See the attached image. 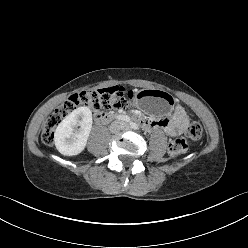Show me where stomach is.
<instances>
[{
	"label": "stomach",
	"mask_w": 248,
	"mask_h": 248,
	"mask_svg": "<svg viewBox=\"0 0 248 248\" xmlns=\"http://www.w3.org/2000/svg\"><path fill=\"white\" fill-rule=\"evenodd\" d=\"M134 101L138 108L147 110L148 113L154 116L167 115L174 107V99L171 95L152 88L138 91Z\"/></svg>",
	"instance_id": "stomach-1"
}]
</instances>
